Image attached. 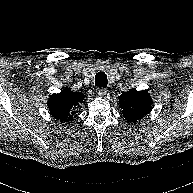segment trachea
I'll use <instances>...</instances> for the list:
<instances>
[{
  "label": "trachea",
  "mask_w": 193,
  "mask_h": 193,
  "mask_svg": "<svg viewBox=\"0 0 193 193\" xmlns=\"http://www.w3.org/2000/svg\"><path fill=\"white\" fill-rule=\"evenodd\" d=\"M107 83H108L107 75L104 72H98L95 75V85L96 86L106 88Z\"/></svg>",
  "instance_id": "1"
}]
</instances>
